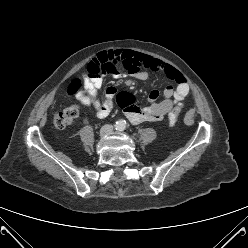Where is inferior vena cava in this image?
Here are the masks:
<instances>
[{
    "label": "inferior vena cava",
    "mask_w": 248,
    "mask_h": 248,
    "mask_svg": "<svg viewBox=\"0 0 248 248\" xmlns=\"http://www.w3.org/2000/svg\"><path fill=\"white\" fill-rule=\"evenodd\" d=\"M113 129V126L112 125H104L102 128H101V132L102 133H110Z\"/></svg>",
    "instance_id": "inferior-vena-cava-1"
}]
</instances>
